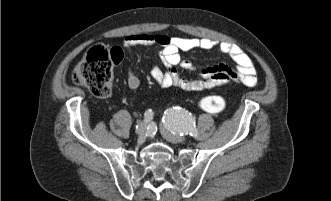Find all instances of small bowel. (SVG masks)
<instances>
[{
  "mask_svg": "<svg viewBox=\"0 0 331 201\" xmlns=\"http://www.w3.org/2000/svg\"><path fill=\"white\" fill-rule=\"evenodd\" d=\"M155 45L162 48L161 59L165 69L154 66L151 69V76L161 87L176 86L186 91H201L230 82L242 83L249 87L257 84L253 61L237 44L207 38H182L163 34L140 33L127 36L123 42V49L129 50L136 46ZM195 49H218L221 53L231 57L236 68L233 69L225 64L208 66L198 70L196 79H187L179 74L177 67L195 71L193 64L182 55ZM127 85L131 90H136L140 86V79L135 72H128Z\"/></svg>",
  "mask_w": 331,
  "mask_h": 201,
  "instance_id": "c3829d8e",
  "label": "small bowel"
}]
</instances>
